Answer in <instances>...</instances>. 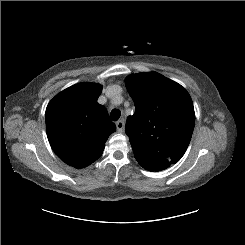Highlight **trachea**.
I'll return each mask as SVG.
<instances>
[{
	"mask_svg": "<svg viewBox=\"0 0 245 245\" xmlns=\"http://www.w3.org/2000/svg\"><path fill=\"white\" fill-rule=\"evenodd\" d=\"M121 112L118 109H114L111 111L110 116L113 121H117L120 118Z\"/></svg>",
	"mask_w": 245,
	"mask_h": 245,
	"instance_id": "obj_1",
	"label": "trachea"
}]
</instances>
